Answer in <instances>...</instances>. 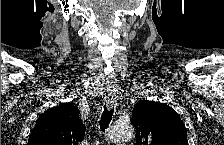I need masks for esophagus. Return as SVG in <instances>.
<instances>
[{
	"label": "esophagus",
	"instance_id": "esophagus-1",
	"mask_svg": "<svg viewBox=\"0 0 224 145\" xmlns=\"http://www.w3.org/2000/svg\"><path fill=\"white\" fill-rule=\"evenodd\" d=\"M115 99H116V92H115V90H110L109 93H108V97H107V107L109 109L112 108V105H113Z\"/></svg>",
	"mask_w": 224,
	"mask_h": 145
}]
</instances>
